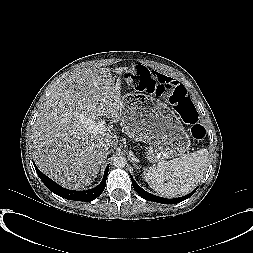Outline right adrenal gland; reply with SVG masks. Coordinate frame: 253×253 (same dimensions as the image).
<instances>
[{"label":"right adrenal gland","mask_w":253,"mask_h":253,"mask_svg":"<svg viewBox=\"0 0 253 253\" xmlns=\"http://www.w3.org/2000/svg\"><path fill=\"white\" fill-rule=\"evenodd\" d=\"M108 154H109V152H107V153H106V157H105V159L107 158V155H108Z\"/></svg>","instance_id":"obj_1"}]
</instances>
